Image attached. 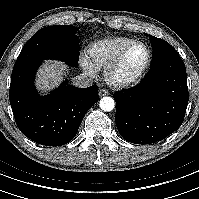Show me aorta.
<instances>
[{
    "label": "aorta",
    "mask_w": 199,
    "mask_h": 199,
    "mask_svg": "<svg viewBox=\"0 0 199 199\" xmlns=\"http://www.w3.org/2000/svg\"><path fill=\"white\" fill-rule=\"evenodd\" d=\"M99 105H100L101 110L109 112L114 109L115 101L112 97H103L100 100Z\"/></svg>",
    "instance_id": "1"
}]
</instances>
